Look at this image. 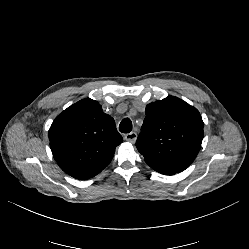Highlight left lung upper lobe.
Listing matches in <instances>:
<instances>
[{
    "instance_id": "5c2ea615",
    "label": "left lung upper lobe",
    "mask_w": 249,
    "mask_h": 249,
    "mask_svg": "<svg viewBox=\"0 0 249 249\" xmlns=\"http://www.w3.org/2000/svg\"><path fill=\"white\" fill-rule=\"evenodd\" d=\"M145 120L136 147L156 171L178 173L196 158L204 136L196 108L168 96L146 106Z\"/></svg>"
}]
</instances>
